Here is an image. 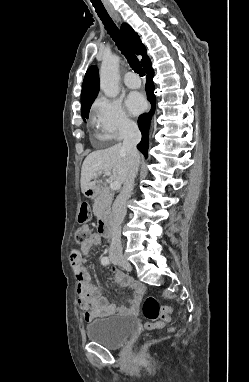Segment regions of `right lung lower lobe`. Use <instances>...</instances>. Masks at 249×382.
I'll use <instances>...</instances> for the list:
<instances>
[{"mask_svg":"<svg viewBox=\"0 0 249 382\" xmlns=\"http://www.w3.org/2000/svg\"><path fill=\"white\" fill-rule=\"evenodd\" d=\"M143 68L147 74V82H146V92L148 101L151 103V109L148 113H144L138 118V126L142 133L141 142L137 145V148L143 153V155L147 158L148 156V129L149 123L152 115L155 112V103L156 97L154 95V85H153V69L151 66V61L148 59L143 65Z\"/></svg>","mask_w":249,"mask_h":382,"instance_id":"98d812e1","label":"right lung lower lobe"}]
</instances>
